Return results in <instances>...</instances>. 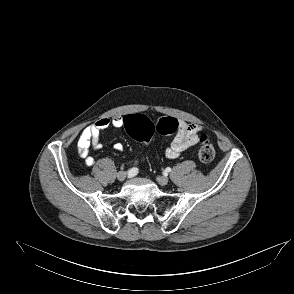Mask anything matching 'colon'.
Returning a JSON list of instances; mask_svg holds the SVG:
<instances>
[{
  "instance_id": "obj_1",
  "label": "colon",
  "mask_w": 294,
  "mask_h": 294,
  "mask_svg": "<svg viewBox=\"0 0 294 294\" xmlns=\"http://www.w3.org/2000/svg\"><path fill=\"white\" fill-rule=\"evenodd\" d=\"M126 132L135 140L149 144L157 132L162 135L172 134L178 129V121L172 117H161L155 123L145 115L133 114L124 116ZM198 158L202 163H210L215 158V149L207 136L199 138Z\"/></svg>"
}]
</instances>
